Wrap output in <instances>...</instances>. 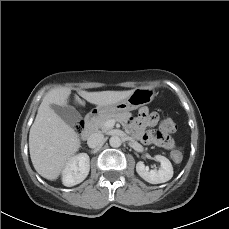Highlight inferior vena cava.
<instances>
[{
    "mask_svg": "<svg viewBox=\"0 0 229 229\" xmlns=\"http://www.w3.org/2000/svg\"><path fill=\"white\" fill-rule=\"evenodd\" d=\"M104 142V135L102 133H93L89 136L87 144L90 148L101 146Z\"/></svg>",
    "mask_w": 229,
    "mask_h": 229,
    "instance_id": "602c4592",
    "label": "inferior vena cava"
}]
</instances>
